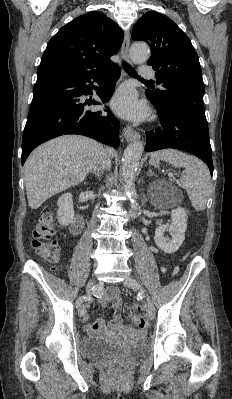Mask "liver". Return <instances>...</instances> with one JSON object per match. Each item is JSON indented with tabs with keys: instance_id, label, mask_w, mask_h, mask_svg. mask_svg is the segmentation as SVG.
Returning <instances> with one entry per match:
<instances>
[{
	"instance_id": "obj_1",
	"label": "liver",
	"mask_w": 232,
	"mask_h": 399,
	"mask_svg": "<svg viewBox=\"0 0 232 399\" xmlns=\"http://www.w3.org/2000/svg\"><path fill=\"white\" fill-rule=\"evenodd\" d=\"M103 154L114 156V150L83 136H61L38 146L24 166L30 207L37 209L54 194L83 182Z\"/></svg>"
}]
</instances>
